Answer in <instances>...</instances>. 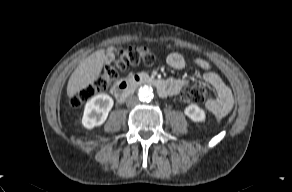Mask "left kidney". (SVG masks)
I'll return each instance as SVG.
<instances>
[{"label":"left kidney","instance_id":"left-kidney-1","mask_svg":"<svg viewBox=\"0 0 292 192\" xmlns=\"http://www.w3.org/2000/svg\"><path fill=\"white\" fill-rule=\"evenodd\" d=\"M184 113L194 122H204L206 119L204 110L196 104L187 106L184 110Z\"/></svg>","mask_w":292,"mask_h":192}]
</instances>
